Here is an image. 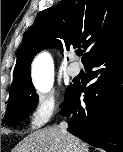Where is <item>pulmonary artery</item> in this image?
Listing matches in <instances>:
<instances>
[{
    "instance_id": "obj_1",
    "label": "pulmonary artery",
    "mask_w": 123,
    "mask_h": 152,
    "mask_svg": "<svg viewBox=\"0 0 123 152\" xmlns=\"http://www.w3.org/2000/svg\"><path fill=\"white\" fill-rule=\"evenodd\" d=\"M67 72L71 77H76L80 73V66L76 62H72L69 65Z\"/></svg>"
}]
</instances>
